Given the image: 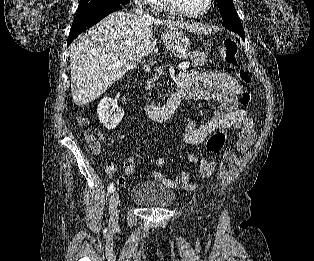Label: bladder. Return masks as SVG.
<instances>
[{"mask_svg":"<svg viewBox=\"0 0 314 261\" xmlns=\"http://www.w3.org/2000/svg\"><path fill=\"white\" fill-rule=\"evenodd\" d=\"M130 198L145 208H167L175 199L174 192L154 181H145L136 184L131 192Z\"/></svg>","mask_w":314,"mask_h":261,"instance_id":"obj_1","label":"bladder"}]
</instances>
